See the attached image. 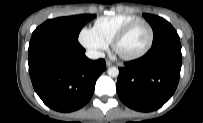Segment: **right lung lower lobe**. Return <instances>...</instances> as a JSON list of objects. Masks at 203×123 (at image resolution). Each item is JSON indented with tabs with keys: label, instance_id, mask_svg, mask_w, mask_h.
<instances>
[{
	"label": "right lung lower lobe",
	"instance_id": "1",
	"mask_svg": "<svg viewBox=\"0 0 203 123\" xmlns=\"http://www.w3.org/2000/svg\"><path fill=\"white\" fill-rule=\"evenodd\" d=\"M77 42L51 35L32 36L28 64L35 92L51 109L71 112L91 99L103 59L90 60Z\"/></svg>",
	"mask_w": 203,
	"mask_h": 123
}]
</instances>
